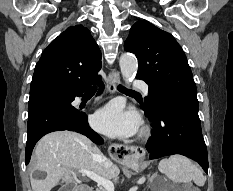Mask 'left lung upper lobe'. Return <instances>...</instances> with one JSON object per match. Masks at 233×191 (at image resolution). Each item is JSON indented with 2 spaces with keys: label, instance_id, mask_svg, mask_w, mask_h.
I'll use <instances>...</instances> for the list:
<instances>
[{
  "label": "left lung upper lobe",
  "instance_id": "1",
  "mask_svg": "<svg viewBox=\"0 0 233 191\" xmlns=\"http://www.w3.org/2000/svg\"><path fill=\"white\" fill-rule=\"evenodd\" d=\"M124 49L136 55L137 78L149 85L146 109L162 96H180L198 102L187 58L171 34L141 20L131 27Z\"/></svg>",
  "mask_w": 233,
  "mask_h": 191
}]
</instances>
